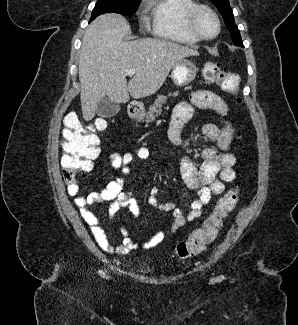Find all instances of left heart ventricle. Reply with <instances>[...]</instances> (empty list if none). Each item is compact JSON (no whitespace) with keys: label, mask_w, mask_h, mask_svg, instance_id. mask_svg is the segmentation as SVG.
<instances>
[{"label":"left heart ventricle","mask_w":298,"mask_h":325,"mask_svg":"<svg viewBox=\"0 0 298 325\" xmlns=\"http://www.w3.org/2000/svg\"><path fill=\"white\" fill-rule=\"evenodd\" d=\"M195 25L204 37H211L215 33V24L206 12H201L197 16Z\"/></svg>","instance_id":"left-heart-ventricle-1"}]
</instances>
